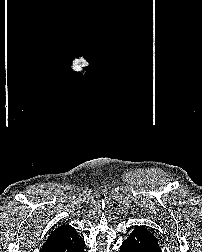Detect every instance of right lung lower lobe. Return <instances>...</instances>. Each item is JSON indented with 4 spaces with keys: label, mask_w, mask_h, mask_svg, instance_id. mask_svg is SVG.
Instances as JSON below:
<instances>
[{
    "label": "right lung lower lobe",
    "mask_w": 202,
    "mask_h": 252,
    "mask_svg": "<svg viewBox=\"0 0 202 252\" xmlns=\"http://www.w3.org/2000/svg\"><path fill=\"white\" fill-rule=\"evenodd\" d=\"M84 246L85 242L82 243V245L78 248V250H76V252H84Z\"/></svg>",
    "instance_id": "right-lung-lower-lobe-1"
}]
</instances>
